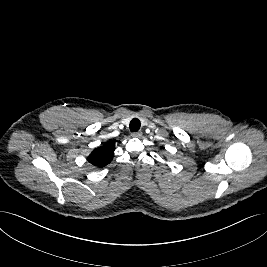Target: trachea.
<instances>
[{
  "mask_svg": "<svg viewBox=\"0 0 267 267\" xmlns=\"http://www.w3.org/2000/svg\"><path fill=\"white\" fill-rule=\"evenodd\" d=\"M141 123L139 119L134 118L130 122V131L131 132H137L140 129Z\"/></svg>",
  "mask_w": 267,
  "mask_h": 267,
  "instance_id": "1",
  "label": "trachea"
}]
</instances>
